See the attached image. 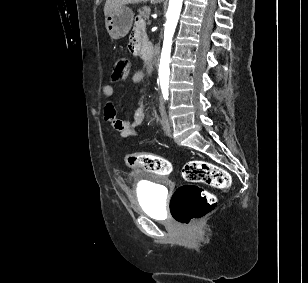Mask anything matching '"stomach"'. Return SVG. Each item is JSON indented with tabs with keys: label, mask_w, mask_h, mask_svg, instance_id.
<instances>
[{
	"label": "stomach",
	"mask_w": 308,
	"mask_h": 283,
	"mask_svg": "<svg viewBox=\"0 0 308 283\" xmlns=\"http://www.w3.org/2000/svg\"><path fill=\"white\" fill-rule=\"evenodd\" d=\"M134 13L125 6L114 8L105 17V26L112 39L118 40L125 37L131 29Z\"/></svg>",
	"instance_id": "obj_1"
}]
</instances>
